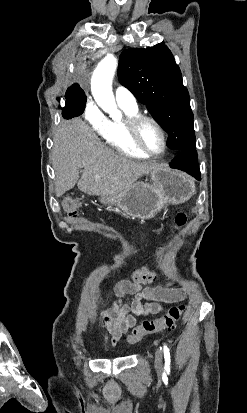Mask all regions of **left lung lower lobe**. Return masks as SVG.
<instances>
[{"label":"left lung lower lobe","mask_w":247,"mask_h":413,"mask_svg":"<svg viewBox=\"0 0 247 413\" xmlns=\"http://www.w3.org/2000/svg\"><path fill=\"white\" fill-rule=\"evenodd\" d=\"M177 156L170 162V167L186 171L197 180H201L196 149L177 152Z\"/></svg>","instance_id":"obj_1"}]
</instances>
